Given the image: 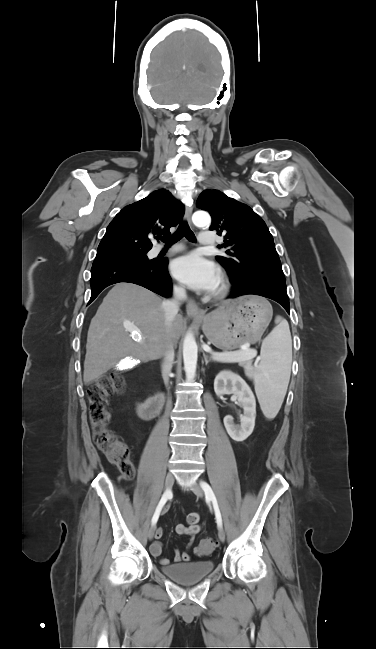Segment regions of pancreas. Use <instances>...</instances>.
Returning a JSON list of instances; mask_svg holds the SVG:
<instances>
[{"instance_id":"obj_1","label":"pancreas","mask_w":376,"mask_h":649,"mask_svg":"<svg viewBox=\"0 0 376 649\" xmlns=\"http://www.w3.org/2000/svg\"><path fill=\"white\" fill-rule=\"evenodd\" d=\"M236 353L245 354V353H247V351L246 350H240V351H237ZM239 365L244 367V368H252V360L250 359V360L239 362Z\"/></svg>"}]
</instances>
